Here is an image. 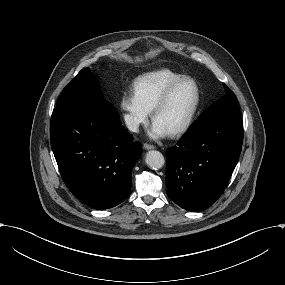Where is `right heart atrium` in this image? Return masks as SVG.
<instances>
[{"mask_svg":"<svg viewBox=\"0 0 285 285\" xmlns=\"http://www.w3.org/2000/svg\"><path fill=\"white\" fill-rule=\"evenodd\" d=\"M120 107L125 113L128 126L138 129L148 122L151 111L144 105L136 93L135 87H129L121 96Z\"/></svg>","mask_w":285,"mask_h":285,"instance_id":"1","label":"right heart atrium"}]
</instances>
